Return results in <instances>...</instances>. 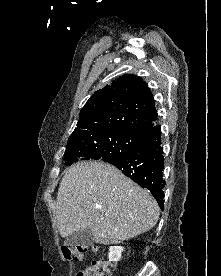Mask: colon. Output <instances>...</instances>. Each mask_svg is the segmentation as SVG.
<instances>
[{"label": "colon", "mask_w": 221, "mask_h": 276, "mask_svg": "<svg viewBox=\"0 0 221 276\" xmlns=\"http://www.w3.org/2000/svg\"><path fill=\"white\" fill-rule=\"evenodd\" d=\"M86 251V246H66L62 249L64 258L74 262L80 261ZM114 266V262L94 260L86 268L79 271L76 276H111V269Z\"/></svg>", "instance_id": "obj_1"}]
</instances>
